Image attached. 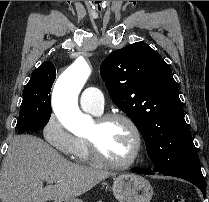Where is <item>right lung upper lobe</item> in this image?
<instances>
[{"label":"right lung upper lobe","instance_id":"1","mask_svg":"<svg viewBox=\"0 0 209 202\" xmlns=\"http://www.w3.org/2000/svg\"><path fill=\"white\" fill-rule=\"evenodd\" d=\"M54 76H56V69H55V66L49 61L43 62L31 74V78H34V77H54Z\"/></svg>","mask_w":209,"mask_h":202}]
</instances>
